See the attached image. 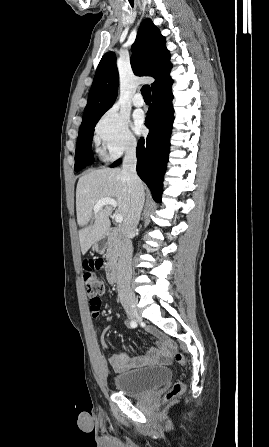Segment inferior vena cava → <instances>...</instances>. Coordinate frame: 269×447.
<instances>
[{
    "label": "inferior vena cava",
    "mask_w": 269,
    "mask_h": 447,
    "mask_svg": "<svg viewBox=\"0 0 269 447\" xmlns=\"http://www.w3.org/2000/svg\"><path fill=\"white\" fill-rule=\"evenodd\" d=\"M136 148L137 142L128 146L125 152L122 170L129 186L131 198L129 212L122 224L124 245L121 249L117 265V291L118 293H124V295L125 293H132L130 289L133 253L131 237H133L136 227L139 224L140 214L145 202L144 186L136 172Z\"/></svg>",
    "instance_id": "1"
}]
</instances>
